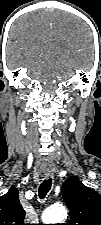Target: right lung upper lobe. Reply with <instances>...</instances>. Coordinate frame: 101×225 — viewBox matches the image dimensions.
Returning <instances> with one entry per match:
<instances>
[{
	"label": "right lung upper lobe",
	"mask_w": 101,
	"mask_h": 225,
	"mask_svg": "<svg viewBox=\"0 0 101 225\" xmlns=\"http://www.w3.org/2000/svg\"><path fill=\"white\" fill-rule=\"evenodd\" d=\"M25 211L20 204L18 190L12 186L0 197V225H25Z\"/></svg>",
	"instance_id": "obj_1"
}]
</instances>
